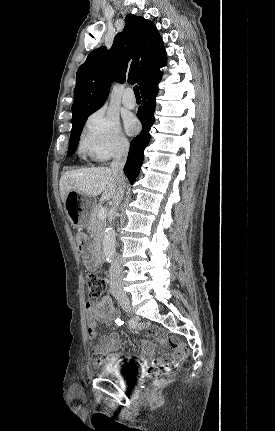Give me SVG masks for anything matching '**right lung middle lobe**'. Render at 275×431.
I'll return each mask as SVG.
<instances>
[{
    "label": "right lung middle lobe",
    "mask_w": 275,
    "mask_h": 431,
    "mask_svg": "<svg viewBox=\"0 0 275 431\" xmlns=\"http://www.w3.org/2000/svg\"><path fill=\"white\" fill-rule=\"evenodd\" d=\"M86 120H87V118H85V119H83V120H81L75 124H72V133H71V137H70V144H69L67 156H71L76 151L78 141L80 138V134H81V131L83 129V126H84Z\"/></svg>",
    "instance_id": "1"
}]
</instances>
